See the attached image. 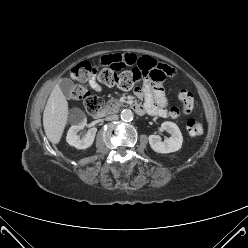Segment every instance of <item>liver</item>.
Here are the masks:
<instances>
[{
	"label": "liver",
	"instance_id": "obj_1",
	"mask_svg": "<svg viewBox=\"0 0 248 248\" xmlns=\"http://www.w3.org/2000/svg\"><path fill=\"white\" fill-rule=\"evenodd\" d=\"M59 83L53 87L43 113L45 134L53 144L60 142L68 120V102Z\"/></svg>",
	"mask_w": 248,
	"mask_h": 248
}]
</instances>
